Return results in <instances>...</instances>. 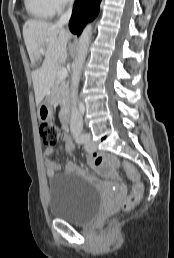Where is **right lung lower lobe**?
I'll use <instances>...</instances> for the list:
<instances>
[{"label": "right lung lower lobe", "mask_w": 174, "mask_h": 258, "mask_svg": "<svg viewBox=\"0 0 174 258\" xmlns=\"http://www.w3.org/2000/svg\"><path fill=\"white\" fill-rule=\"evenodd\" d=\"M101 0H76L69 22L70 31L79 36L88 21L99 13Z\"/></svg>", "instance_id": "right-lung-lower-lobe-1"}]
</instances>
